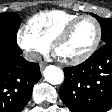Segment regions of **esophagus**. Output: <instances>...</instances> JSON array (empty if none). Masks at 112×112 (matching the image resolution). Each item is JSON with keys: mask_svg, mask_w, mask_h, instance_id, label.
I'll list each match as a JSON object with an SVG mask.
<instances>
[{"mask_svg": "<svg viewBox=\"0 0 112 112\" xmlns=\"http://www.w3.org/2000/svg\"><path fill=\"white\" fill-rule=\"evenodd\" d=\"M45 66H46V64L43 63V62H41V63L39 64L40 70L42 71V70L45 68Z\"/></svg>", "mask_w": 112, "mask_h": 112, "instance_id": "obj_1", "label": "esophagus"}]
</instances>
